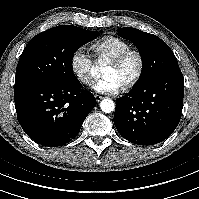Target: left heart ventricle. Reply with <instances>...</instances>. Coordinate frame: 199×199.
<instances>
[{
  "instance_id": "obj_1",
  "label": "left heart ventricle",
  "mask_w": 199,
  "mask_h": 199,
  "mask_svg": "<svg viewBox=\"0 0 199 199\" xmlns=\"http://www.w3.org/2000/svg\"><path fill=\"white\" fill-rule=\"evenodd\" d=\"M137 70V60L134 56L129 57L126 62L119 68L107 66L104 70L103 76L114 77L122 84L127 82Z\"/></svg>"
}]
</instances>
